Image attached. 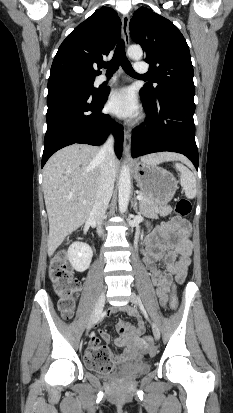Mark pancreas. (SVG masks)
Segmentation results:
<instances>
[{"label": "pancreas", "instance_id": "cf45deb5", "mask_svg": "<svg viewBox=\"0 0 233 413\" xmlns=\"http://www.w3.org/2000/svg\"><path fill=\"white\" fill-rule=\"evenodd\" d=\"M140 195L143 197L140 200V213L144 216L156 217L158 214L167 216L172 212V208L168 204L155 200L142 192Z\"/></svg>", "mask_w": 233, "mask_h": 413}]
</instances>
